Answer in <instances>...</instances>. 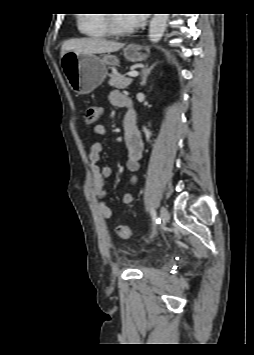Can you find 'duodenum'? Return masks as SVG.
Returning a JSON list of instances; mask_svg holds the SVG:
<instances>
[{
    "mask_svg": "<svg viewBox=\"0 0 254 355\" xmlns=\"http://www.w3.org/2000/svg\"><path fill=\"white\" fill-rule=\"evenodd\" d=\"M127 130H131L136 127V120L134 118H128L125 124Z\"/></svg>",
    "mask_w": 254,
    "mask_h": 355,
    "instance_id": "410a0bca",
    "label": "duodenum"
}]
</instances>
